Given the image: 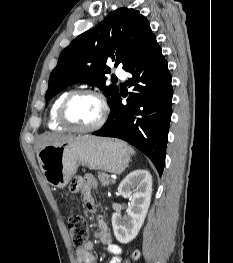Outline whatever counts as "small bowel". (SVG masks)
Here are the masks:
<instances>
[{
  "instance_id": "c3829d8e",
  "label": "small bowel",
  "mask_w": 233,
  "mask_h": 263,
  "mask_svg": "<svg viewBox=\"0 0 233 263\" xmlns=\"http://www.w3.org/2000/svg\"><path fill=\"white\" fill-rule=\"evenodd\" d=\"M96 185L97 182L92 175H85L75 178L70 186L72 192L82 193L86 207L91 212H94L96 209L91 194V189L96 187ZM95 236L106 247L107 251L113 255L109 263H121L123 260V250L119 245L114 243L108 227L101 217L98 218V226ZM92 250L93 243L91 241H87L83 247L77 249L76 256L78 263H97Z\"/></svg>"
}]
</instances>
